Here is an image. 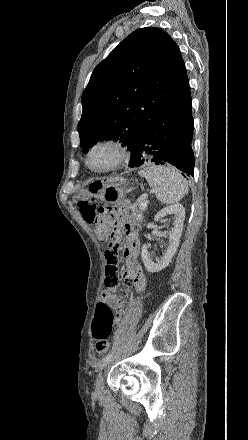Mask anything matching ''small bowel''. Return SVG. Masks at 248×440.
Listing matches in <instances>:
<instances>
[{"mask_svg": "<svg viewBox=\"0 0 248 440\" xmlns=\"http://www.w3.org/2000/svg\"><path fill=\"white\" fill-rule=\"evenodd\" d=\"M113 224L118 232L122 230L127 237V243L123 251V256L126 259V270L123 273V279L127 285L133 286L136 291L143 292L146 288V276L137 260L140 253V241L137 231L129 221L126 205L117 209ZM104 262L103 279L107 291L100 295L99 301H104L117 312V316L114 319V325L117 326L120 323L124 307L122 297L114 294L115 291H120L121 289V277L119 276L120 259L119 257H108Z\"/></svg>", "mask_w": 248, "mask_h": 440, "instance_id": "c3829d8e", "label": "small bowel"}]
</instances>
